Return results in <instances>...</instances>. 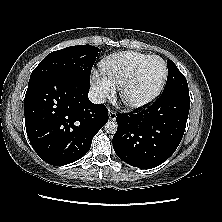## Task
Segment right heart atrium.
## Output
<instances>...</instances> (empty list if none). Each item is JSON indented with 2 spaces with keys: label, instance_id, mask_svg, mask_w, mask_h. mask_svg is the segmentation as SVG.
Returning <instances> with one entry per match:
<instances>
[{
  "label": "right heart atrium",
  "instance_id": "d8ad5b80",
  "mask_svg": "<svg viewBox=\"0 0 222 222\" xmlns=\"http://www.w3.org/2000/svg\"><path fill=\"white\" fill-rule=\"evenodd\" d=\"M91 86L99 100L112 97L115 94V86L97 71H93L91 74Z\"/></svg>",
  "mask_w": 222,
  "mask_h": 222
}]
</instances>
